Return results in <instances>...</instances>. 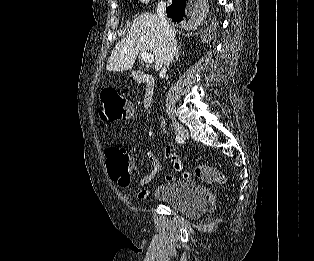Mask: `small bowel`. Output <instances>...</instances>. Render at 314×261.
<instances>
[{
  "mask_svg": "<svg viewBox=\"0 0 314 261\" xmlns=\"http://www.w3.org/2000/svg\"><path fill=\"white\" fill-rule=\"evenodd\" d=\"M130 158H131L132 167H136L140 163L139 158H135L132 156H130ZM147 158L149 162L151 163L152 170L137 181V184L139 186L148 185L155 178V176L158 174V172L161 169V161L152 151L147 152ZM165 158L170 159L174 163L176 170L180 169L179 158L177 154L175 153L173 146L169 145L165 148ZM165 179L167 181H171L174 179V176L169 174L165 176ZM149 194H150V190L147 188H144L138 192L137 196L139 199H146L149 196Z\"/></svg>",
  "mask_w": 314,
  "mask_h": 261,
  "instance_id": "1",
  "label": "small bowel"
}]
</instances>
